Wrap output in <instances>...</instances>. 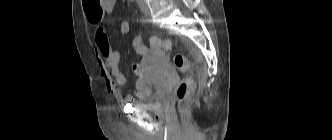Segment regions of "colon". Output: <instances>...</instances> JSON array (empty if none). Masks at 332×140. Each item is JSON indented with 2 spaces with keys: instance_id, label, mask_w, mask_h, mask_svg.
Listing matches in <instances>:
<instances>
[{
  "instance_id": "obj_1",
  "label": "colon",
  "mask_w": 332,
  "mask_h": 140,
  "mask_svg": "<svg viewBox=\"0 0 332 140\" xmlns=\"http://www.w3.org/2000/svg\"><path fill=\"white\" fill-rule=\"evenodd\" d=\"M104 0H83V6L87 17L94 21H99L102 17V4ZM114 30L117 35L125 36L130 32V23L127 20L119 21ZM153 48H161L165 50L171 49V42L157 37H151L149 40ZM174 66L181 72L188 70V61L182 54H176L173 57ZM193 83L189 78H184L180 81L176 89V97L179 104V109L184 115L190 106L193 104Z\"/></svg>"
}]
</instances>
